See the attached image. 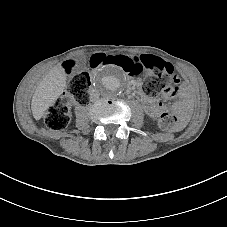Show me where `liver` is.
Returning <instances> with one entry per match:
<instances>
[{
    "mask_svg": "<svg viewBox=\"0 0 227 227\" xmlns=\"http://www.w3.org/2000/svg\"><path fill=\"white\" fill-rule=\"evenodd\" d=\"M67 75L64 69L57 65L42 79L31 100V110L35 120H40L46 110L52 106L66 87Z\"/></svg>",
    "mask_w": 227,
    "mask_h": 227,
    "instance_id": "liver-1",
    "label": "liver"
}]
</instances>
